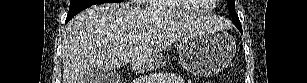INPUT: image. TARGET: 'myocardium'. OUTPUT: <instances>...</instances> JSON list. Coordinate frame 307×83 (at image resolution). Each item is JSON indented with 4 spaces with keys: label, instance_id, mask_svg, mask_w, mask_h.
Here are the masks:
<instances>
[{
    "label": "myocardium",
    "instance_id": "obj_1",
    "mask_svg": "<svg viewBox=\"0 0 307 83\" xmlns=\"http://www.w3.org/2000/svg\"><path fill=\"white\" fill-rule=\"evenodd\" d=\"M186 11L188 12H193V13H208L211 8H206V9H203V8H196L192 5H189L188 2L189 0H176Z\"/></svg>",
    "mask_w": 307,
    "mask_h": 83
}]
</instances>
